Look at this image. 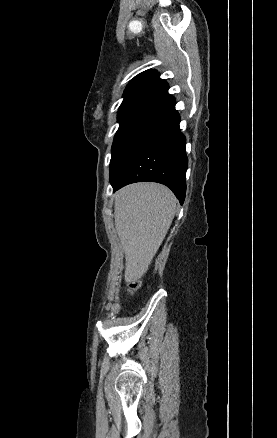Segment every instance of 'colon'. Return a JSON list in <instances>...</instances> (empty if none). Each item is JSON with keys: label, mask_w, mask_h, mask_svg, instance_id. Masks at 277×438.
<instances>
[{"label": "colon", "mask_w": 277, "mask_h": 438, "mask_svg": "<svg viewBox=\"0 0 277 438\" xmlns=\"http://www.w3.org/2000/svg\"><path fill=\"white\" fill-rule=\"evenodd\" d=\"M130 293H134L135 291L139 290V284L137 283H132L129 288H128Z\"/></svg>", "instance_id": "obj_1"}]
</instances>
